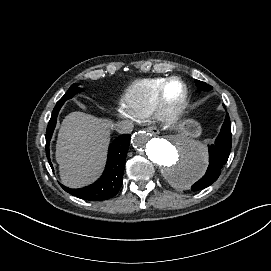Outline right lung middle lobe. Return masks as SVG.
<instances>
[{"label":"right lung middle lobe","mask_w":271,"mask_h":271,"mask_svg":"<svg viewBox=\"0 0 271 271\" xmlns=\"http://www.w3.org/2000/svg\"><path fill=\"white\" fill-rule=\"evenodd\" d=\"M81 91L82 89L78 87V84H73L57 104H63L66 100L72 98L76 93Z\"/></svg>","instance_id":"dd1d6c3e"}]
</instances>
